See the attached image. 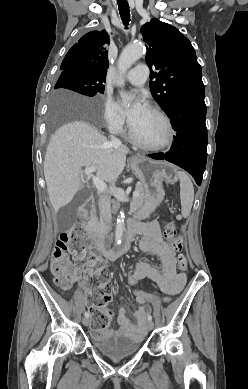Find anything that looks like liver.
<instances>
[{"instance_id":"obj_1","label":"liver","mask_w":248,"mask_h":389,"mask_svg":"<svg viewBox=\"0 0 248 389\" xmlns=\"http://www.w3.org/2000/svg\"><path fill=\"white\" fill-rule=\"evenodd\" d=\"M55 101L90 104L67 91L57 92ZM128 153V148L113 146L87 122L73 121L61 126L51 137L44 160L45 181L54 211L70 203L83 188V167L96 166L100 179L113 181L123 171Z\"/></svg>"}]
</instances>
